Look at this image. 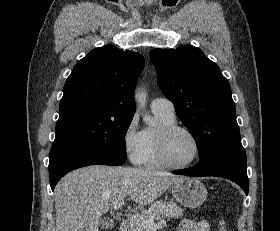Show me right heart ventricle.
Wrapping results in <instances>:
<instances>
[{"label":"right heart ventricle","mask_w":280,"mask_h":231,"mask_svg":"<svg viewBox=\"0 0 280 231\" xmlns=\"http://www.w3.org/2000/svg\"><path fill=\"white\" fill-rule=\"evenodd\" d=\"M155 114L160 119L162 125L176 123L175 116L170 117V116H166V115H162V114H158V113H155ZM144 133H145V138H146V151H145L143 163L146 166L151 167V168L163 167L164 165H162L157 158V151H156V133H157V131H152L150 129H146L144 131Z\"/></svg>","instance_id":"obj_1"}]
</instances>
